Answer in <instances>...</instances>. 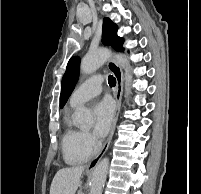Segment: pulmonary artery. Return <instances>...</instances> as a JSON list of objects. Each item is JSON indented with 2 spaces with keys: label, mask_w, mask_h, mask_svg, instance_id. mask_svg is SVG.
I'll use <instances>...</instances> for the list:
<instances>
[{
  "label": "pulmonary artery",
  "mask_w": 201,
  "mask_h": 194,
  "mask_svg": "<svg viewBox=\"0 0 201 194\" xmlns=\"http://www.w3.org/2000/svg\"><path fill=\"white\" fill-rule=\"evenodd\" d=\"M102 82L103 78L99 75L86 79L70 96V105L72 107L78 106L99 95L102 91Z\"/></svg>",
  "instance_id": "obj_1"
}]
</instances>
